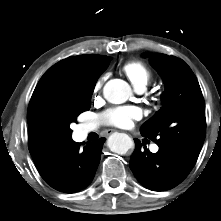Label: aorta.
Segmentation results:
<instances>
[{
    "label": "aorta",
    "instance_id": "762f6f07",
    "mask_svg": "<svg viewBox=\"0 0 221 221\" xmlns=\"http://www.w3.org/2000/svg\"><path fill=\"white\" fill-rule=\"evenodd\" d=\"M103 94L108 102L121 104L129 99L132 92L126 81L121 79H112L105 84ZM108 144L112 152L121 155L126 154L128 150L134 146L132 139L123 133H114L111 135Z\"/></svg>",
    "mask_w": 221,
    "mask_h": 221
}]
</instances>
